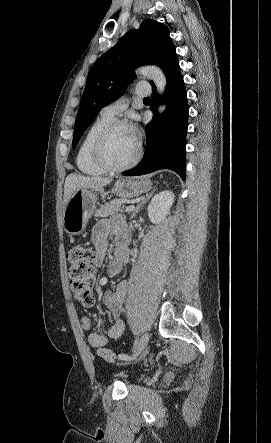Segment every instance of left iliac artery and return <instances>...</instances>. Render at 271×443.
I'll list each match as a JSON object with an SVG mask.
<instances>
[{
    "mask_svg": "<svg viewBox=\"0 0 271 443\" xmlns=\"http://www.w3.org/2000/svg\"><path fill=\"white\" fill-rule=\"evenodd\" d=\"M136 357H137V356L131 357V356H128L127 354H119V355H118V358H119L120 360H126V361L134 360V359H136Z\"/></svg>",
    "mask_w": 271,
    "mask_h": 443,
    "instance_id": "obj_1",
    "label": "left iliac artery"
}]
</instances>
